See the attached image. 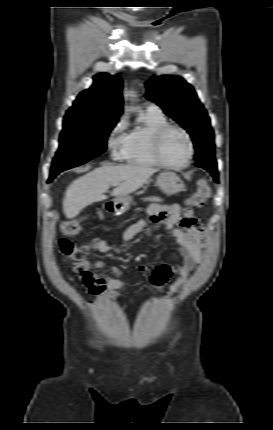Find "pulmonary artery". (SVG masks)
<instances>
[{
	"mask_svg": "<svg viewBox=\"0 0 273 430\" xmlns=\"http://www.w3.org/2000/svg\"><path fill=\"white\" fill-rule=\"evenodd\" d=\"M148 109L161 111V110L159 109V107H157V106H155V105L150 106Z\"/></svg>",
	"mask_w": 273,
	"mask_h": 430,
	"instance_id": "pulmonary-artery-1",
	"label": "pulmonary artery"
}]
</instances>
